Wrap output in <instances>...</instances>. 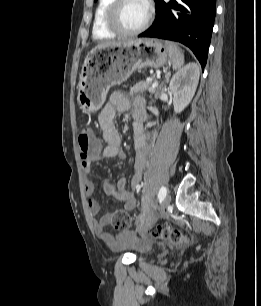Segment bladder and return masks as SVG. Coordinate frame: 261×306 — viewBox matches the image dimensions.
<instances>
[{
	"instance_id": "bladder-1",
	"label": "bladder",
	"mask_w": 261,
	"mask_h": 306,
	"mask_svg": "<svg viewBox=\"0 0 261 306\" xmlns=\"http://www.w3.org/2000/svg\"><path fill=\"white\" fill-rule=\"evenodd\" d=\"M138 252L142 258L148 256L152 249V245L150 243H141L138 245Z\"/></svg>"
}]
</instances>
